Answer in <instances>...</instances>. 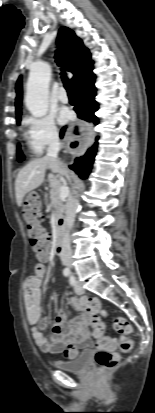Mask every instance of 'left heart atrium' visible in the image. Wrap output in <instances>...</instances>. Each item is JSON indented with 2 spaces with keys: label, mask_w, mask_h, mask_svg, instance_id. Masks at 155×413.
I'll return each instance as SVG.
<instances>
[{
  "label": "left heart atrium",
  "mask_w": 155,
  "mask_h": 413,
  "mask_svg": "<svg viewBox=\"0 0 155 413\" xmlns=\"http://www.w3.org/2000/svg\"><path fill=\"white\" fill-rule=\"evenodd\" d=\"M70 117H71V113L68 109L63 108L60 110L59 117H58L60 123H65L66 121L70 119Z\"/></svg>",
  "instance_id": "left-heart-atrium-1"
}]
</instances>
